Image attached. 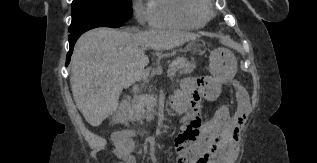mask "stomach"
I'll list each match as a JSON object with an SVG mask.
<instances>
[{"label": "stomach", "instance_id": "1", "mask_svg": "<svg viewBox=\"0 0 317 163\" xmlns=\"http://www.w3.org/2000/svg\"><path fill=\"white\" fill-rule=\"evenodd\" d=\"M209 69L212 76L218 81H228L234 76L237 70V59L229 49H214L210 53Z\"/></svg>", "mask_w": 317, "mask_h": 163}]
</instances>
